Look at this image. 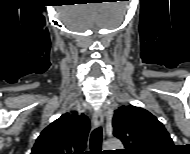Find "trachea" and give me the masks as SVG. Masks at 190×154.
Segmentation results:
<instances>
[{
  "label": "trachea",
  "mask_w": 190,
  "mask_h": 154,
  "mask_svg": "<svg viewBox=\"0 0 190 154\" xmlns=\"http://www.w3.org/2000/svg\"><path fill=\"white\" fill-rule=\"evenodd\" d=\"M102 128L94 129L90 136V154H101Z\"/></svg>",
  "instance_id": "obj_1"
}]
</instances>
